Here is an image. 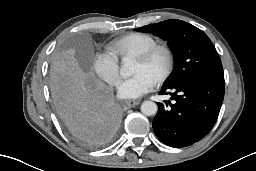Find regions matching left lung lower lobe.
I'll list each match as a JSON object with an SVG mask.
<instances>
[{
    "mask_svg": "<svg viewBox=\"0 0 256 171\" xmlns=\"http://www.w3.org/2000/svg\"><path fill=\"white\" fill-rule=\"evenodd\" d=\"M171 100L158 104L152 126L164 144L181 148L201 140L213 128L224 98V76H192L163 86Z\"/></svg>",
    "mask_w": 256,
    "mask_h": 171,
    "instance_id": "0a47b994",
    "label": "left lung lower lobe"
}]
</instances>
